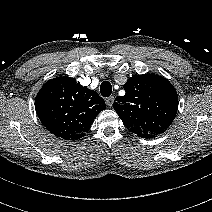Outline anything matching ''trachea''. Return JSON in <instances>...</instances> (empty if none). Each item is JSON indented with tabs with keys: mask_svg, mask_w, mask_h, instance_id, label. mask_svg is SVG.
I'll return each mask as SVG.
<instances>
[{
	"mask_svg": "<svg viewBox=\"0 0 212 212\" xmlns=\"http://www.w3.org/2000/svg\"><path fill=\"white\" fill-rule=\"evenodd\" d=\"M100 93L103 97H109L112 93V86L110 82L104 81L100 85Z\"/></svg>",
	"mask_w": 212,
	"mask_h": 212,
	"instance_id": "3493384b",
	"label": "trachea"
}]
</instances>
